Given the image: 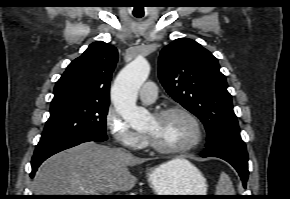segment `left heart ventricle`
<instances>
[{
    "label": "left heart ventricle",
    "mask_w": 290,
    "mask_h": 199,
    "mask_svg": "<svg viewBox=\"0 0 290 199\" xmlns=\"http://www.w3.org/2000/svg\"><path fill=\"white\" fill-rule=\"evenodd\" d=\"M144 132L159 145L166 148H181L195 139L193 124L181 114H172L162 119L152 117Z\"/></svg>",
    "instance_id": "b2bd125f"
}]
</instances>
